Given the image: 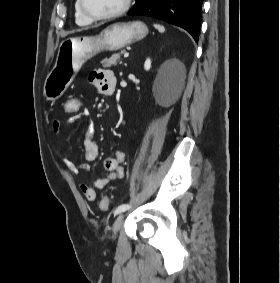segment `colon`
I'll return each mask as SVG.
<instances>
[{
    "mask_svg": "<svg viewBox=\"0 0 280 283\" xmlns=\"http://www.w3.org/2000/svg\"><path fill=\"white\" fill-rule=\"evenodd\" d=\"M61 110L65 112L66 116H69L70 112H82L81 97H78L77 94H74L73 97H67V99H64V107ZM99 205L102 211H107L110 205L109 198L103 197Z\"/></svg>",
    "mask_w": 280,
    "mask_h": 283,
    "instance_id": "colon-1",
    "label": "colon"
}]
</instances>
